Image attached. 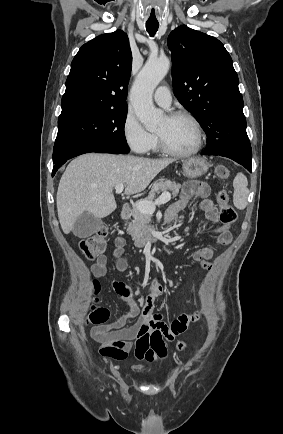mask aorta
<instances>
[{
	"mask_svg": "<svg viewBox=\"0 0 283 434\" xmlns=\"http://www.w3.org/2000/svg\"><path fill=\"white\" fill-rule=\"evenodd\" d=\"M169 67L170 60L166 57L148 59L131 89L130 100L135 114L149 131L155 130L163 119V112L155 108L152 96Z\"/></svg>",
	"mask_w": 283,
	"mask_h": 434,
	"instance_id": "aorta-1",
	"label": "aorta"
}]
</instances>
